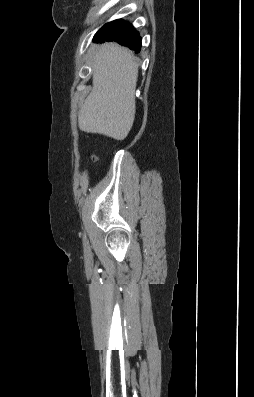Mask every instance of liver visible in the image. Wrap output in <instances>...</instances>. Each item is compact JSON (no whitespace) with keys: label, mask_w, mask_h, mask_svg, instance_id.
<instances>
[{"label":"liver","mask_w":254,"mask_h":397,"mask_svg":"<svg viewBox=\"0 0 254 397\" xmlns=\"http://www.w3.org/2000/svg\"><path fill=\"white\" fill-rule=\"evenodd\" d=\"M93 87L79 114V128L124 140L136 112L138 63L133 53L116 43L92 45Z\"/></svg>","instance_id":"6515ba94"}]
</instances>
